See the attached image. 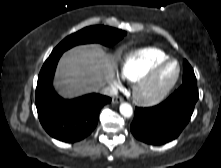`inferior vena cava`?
Masks as SVG:
<instances>
[{"label":"inferior vena cava","mask_w":221,"mask_h":168,"mask_svg":"<svg viewBox=\"0 0 221 168\" xmlns=\"http://www.w3.org/2000/svg\"><path fill=\"white\" fill-rule=\"evenodd\" d=\"M101 93L106 96H115L118 94V89L115 85H108L101 90Z\"/></svg>","instance_id":"obj_1"}]
</instances>
